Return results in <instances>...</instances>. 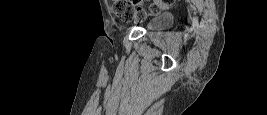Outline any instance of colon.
I'll list each match as a JSON object with an SVG mask.
<instances>
[{"instance_id": "5ec220e1", "label": "colon", "mask_w": 267, "mask_h": 115, "mask_svg": "<svg viewBox=\"0 0 267 115\" xmlns=\"http://www.w3.org/2000/svg\"><path fill=\"white\" fill-rule=\"evenodd\" d=\"M114 14L123 22L142 21L150 15H157L161 7L152 5L148 9L137 8L127 0H115L112 6Z\"/></svg>"}]
</instances>
